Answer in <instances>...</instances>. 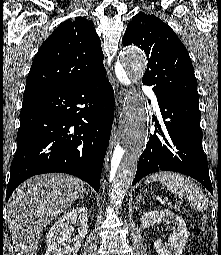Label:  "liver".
Listing matches in <instances>:
<instances>
[{"label":"liver","mask_w":221,"mask_h":255,"mask_svg":"<svg viewBox=\"0 0 221 255\" xmlns=\"http://www.w3.org/2000/svg\"><path fill=\"white\" fill-rule=\"evenodd\" d=\"M83 192L82 180L67 174H42L23 182L7 203L16 255H36L43 229Z\"/></svg>","instance_id":"1"}]
</instances>
